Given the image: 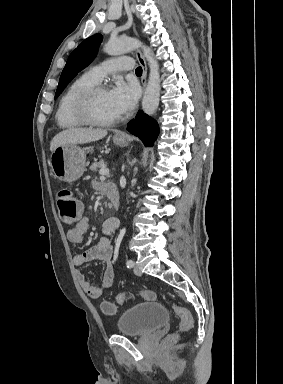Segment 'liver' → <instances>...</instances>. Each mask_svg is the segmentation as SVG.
Returning a JSON list of instances; mask_svg holds the SVG:
<instances>
[{
    "label": "liver",
    "instance_id": "6515ba94",
    "mask_svg": "<svg viewBox=\"0 0 283 384\" xmlns=\"http://www.w3.org/2000/svg\"><path fill=\"white\" fill-rule=\"evenodd\" d=\"M107 136V130H92V128H68L63 130L57 136H54L50 150L54 152L58 146L65 144H88V142H97Z\"/></svg>",
    "mask_w": 283,
    "mask_h": 384
}]
</instances>
